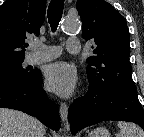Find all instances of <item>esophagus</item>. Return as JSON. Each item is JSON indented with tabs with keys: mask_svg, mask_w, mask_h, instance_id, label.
<instances>
[{
	"mask_svg": "<svg viewBox=\"0 0 144 137\" xmlns=\"http://www.w3.org/2000/svg\"><path fill=\"white\" fill-rule=\"evenodd\" d=\"M60 117L64 124V127L69 130L70 124L68 122V106L65 103L60 104Z\"/></svg>",
	"mask_w": 144,
	"mask_h": 137,
	"instance_id": "obj_1",
	"label": "esophagus"
}]
</instances>
